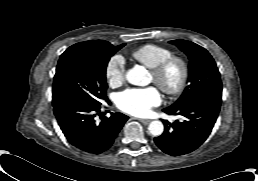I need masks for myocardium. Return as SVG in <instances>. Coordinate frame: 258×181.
<instances>
[{
	"instance_id": "obj_1",
	"label": "myocardium",
	"mask_w": 258,
	"mask_h": 181,
	"mask_svg": "<svg viewBox=\"0 0 258 181\" xmlns=\"http://www.w3.org/2000/svg\"><path fill=\"white\" fill-rule=\"evenodd\" d=\"M172 67H177L178 78L174 83H167L166 76ZM154 82L168 95H177L183 92L189 78L188 63L179 56L171 55L151 68Z\"/></svg>"
}]
</instances>
